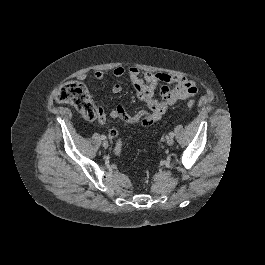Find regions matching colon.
<instances>
[{
    "mask_svg": "<svg viewBox=\"0 0 265 265\" xmlns=\"http://www.w3.org/2000/svg\"><path fill=\"white\" fill-rule=\"evenodd\" d=\"M55 98L59 103L75 107L86 120L93 121L101 115V109L91 100L86 87L78 81H69L61 85L55 93ZM194 105L193 100L187 102L188 108H192ZM122 146V140L118 139L114 148L117 155L121 154Z\"/></svg>",
    "mask_w": 265,
    "mask_h": 265,
    "instance_id": "obj_1",
    "label": "colon"
}]
</instances>
